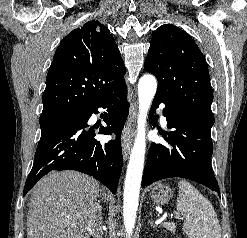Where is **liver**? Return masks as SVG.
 Returning <instances> with one entry per match:
<instances>
[{
  "instance_id": "1",
  "label": "liver",
  "mask_w": 247,
  "mask_h": 238,
  "mask_svg": "<svg viewBox=\"0 0 247 238\" xmlns=\"http://www.w3.org/2000/svg\"><path fill=\"white\" fill-rule=\"evenodd\" d=\"M100 191L99 183L82 173H49L33 188L27 238H86L87 211Z\"/></svg>"
}]
</instances>
